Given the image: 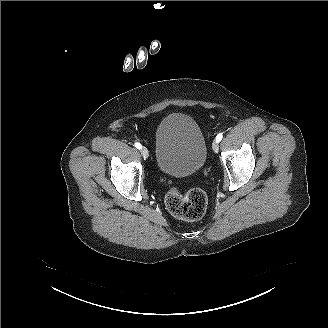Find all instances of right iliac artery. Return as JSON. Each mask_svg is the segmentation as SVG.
Returning <instances> with one entry per match:
<instances>
[{
	"label": "right iliac artery",
	"instance_id": "obj_1",
	"mask_svg": "<svg viewBox=\"0 0 328 328\" xmlns=\"http://www.w3.org/2000/svg\"><path fill=\"white\" fill-rule=\"evenodd\" d=\"M135 147H136L137 149H141L142 145H141L140 143L136 142V143H135Z\"/></svg>",
	"mask_w": 328,
	"mask_h": 328
}]
</instances>
